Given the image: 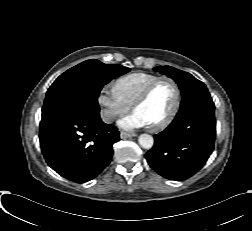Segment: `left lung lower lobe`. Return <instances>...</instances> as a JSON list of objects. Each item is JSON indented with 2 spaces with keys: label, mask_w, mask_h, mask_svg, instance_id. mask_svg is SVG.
I'll return each instance as SVG.
<instances>
[{
  "label": "left lung lower lobe",
  "mask_w": 252,
  "mask_h": 231,
  "mask_svg": "<svg viewBox=\"0 0 252 231\" xmlns=\"http://www.w3.org/2000/svg\"><path fill=\"white\" fill-rule=\"evenodd\" d=\"M214 110L212 100H197L180 107L172 123L154 135V146L145 155L149 165L171 180L194 175L214 149Z\"/></svg>",
  "instance_id": "0a47b994"
}]
</instances>
